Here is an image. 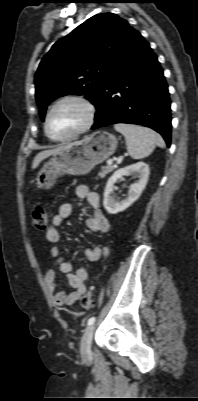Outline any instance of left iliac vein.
<instances>
[{
	"mask_svg": "<svg viewBox=\"0 0 198 401\" xmlns=\"http://www.w3.org/2000/svg\"><path fill=\"white\" fill-rule=\"evenodd\" d=\"M94 330H95V325L94 324L90 325L84 332V335L81 339L80 352H81L82 358H84V359L90 357V355H91V342H92Z\"/></svg>",
	"mask_w": 198,
	"mask_h": 401,
	"instance_id": "obj_1",
	"label": "left iliac vein"
}]
</instances>
